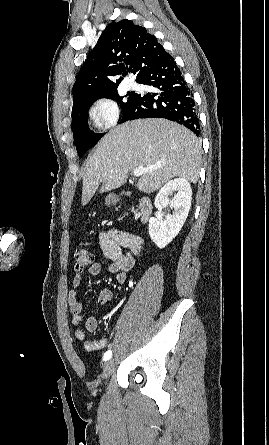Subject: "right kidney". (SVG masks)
<instances>
[{"instance_id": "ca27d5eb", "label": "right kidney", "mask_w": 269, "mask_h": 445, "mask_svg": "<svg viewBox=\"0 0 269 445\" xmlns=\"http://www.w3.org/2000/svg\"><path fill=\"white\" fill-rule=\"evenodd\" d=\"M176 192V196L169 200L168 196ZM192 200V190L185 178H177L167 182L158 192L154 205L157 209L170 206L173 213L166 216L149 219V235L160 249L165 248L180 232L189 214Z\"/></svg>"}]
</instances>
